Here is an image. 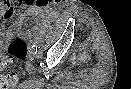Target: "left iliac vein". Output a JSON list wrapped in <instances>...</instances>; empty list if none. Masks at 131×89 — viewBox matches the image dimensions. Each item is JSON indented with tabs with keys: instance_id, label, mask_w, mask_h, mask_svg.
I'll use <instances>...</instances> for the list:
<instances>
[{
	"instance_id": "4c4485c4",
	"label": "left iliac vein",
	"mask_w": 131,
	"mask_h": 89,
	"mask_svg": "<svg viewBox=\"0 0 131 89\" xmlns=\"http://www.w3.org/2000/svg\"><path fill=\"white\" fill-rule=\"evenodd\" d=\"M41 54H42V52H41V51H38L36 55H37V57H38V56L41 55Z\"/></svg>"
}]
</instances>
